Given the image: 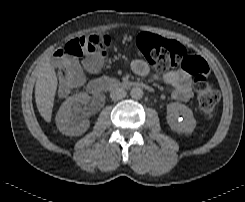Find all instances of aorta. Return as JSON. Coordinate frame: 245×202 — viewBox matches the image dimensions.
<instances>
[{"label":"aorta","mask_w":245,"mask_h":202,"mask_svg":"<svg viewBox=\"0 0 245 202\" xmlns=\"http://www.w3.org/2000/svg\"><path fill=\"white\" fill-rule=\"evenodd\" d=\"M143 90L140 87H134L130 91V96L133 99L139 100L143 97Z\"/></svg>","instance_id":"762f6f07"}]
</instances>
